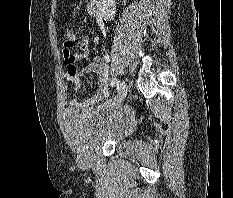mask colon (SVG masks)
Listing matches in <instances>:
<instances>
[{"instance_id":"1","label":"colon","mask_w":233,"mask_h":198,"mask_svg":"<svg viewBox=\"0 0 233 198\" xmlns=\"http://www.w3.org/2000/svg\"><path fill=\"white\" fill-rule=\"evenodd\" d=\"M64 46L67 48H73L76 46L79 36L76 31L72 29H66L63 33Z\"/></svg>"}]
</instances>
